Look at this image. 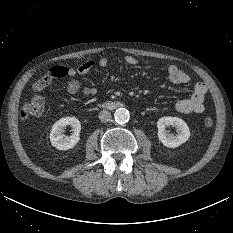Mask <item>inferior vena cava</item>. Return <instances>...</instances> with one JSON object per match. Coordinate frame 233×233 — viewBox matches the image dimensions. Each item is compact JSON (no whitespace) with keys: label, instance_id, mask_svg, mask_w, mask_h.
<instances>
[{"label":"inferior vena cava","instance_id":"602c4592","mask_svg":"<svg viewBox=\"0 0 233 233\" xmlns=\"http://www.w3.org/2000/svg\"><path fill=\"white\" fill-rule=\"evenodd\" d=\"M99 119L101 122H108L111 120V113L107 110H102L99 113Z\"/></svg>","mask_w":233,"mask_h":233}]
</instances>
